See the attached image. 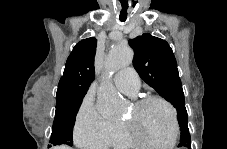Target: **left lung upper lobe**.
I'll list each match as a JSON object with an SVG mask.
<instances>
[{"label":"left lung upper lobe","instance_id":"5c2ea615","mask_svg":"<svg viewBox=\"0 0 227 149\" xmlns=\"http://www.w3.org/2000/svg\"><path fill=\"white\" fill-rule=\"evenodd\" d=\"M129 45L134 50L133 63L139 76L177 110L181 129L179 146L190 148L184 93L171 47L148 33L130 39Z\"/></svg>","mask_w":227,"mask_h":149}]
</instances>
